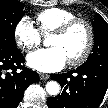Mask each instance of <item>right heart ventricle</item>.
Segmentation results:
<instances>
[{"instance_id": "right-heart-ventricle-1", "label": "right heart ventricle", "mask_w": 108, "mask_h": 108, "mask_svg": "<svg viewBox=\"0 0 108 108\" xmlns=\"http://www.w3.org/2000/svg\"><path fill=\"white\" fill-rule=\"evenodd\" d=\"M74 18H76V15L72 11L53 7L38 13L36 22L39 26V31L47 34L53 32L59 26Z\"/></svg>"}]
</instances>
